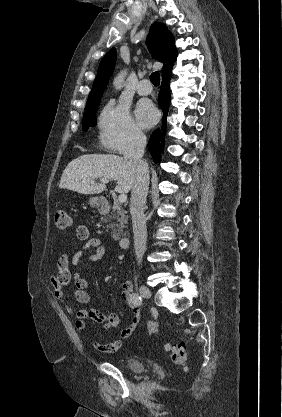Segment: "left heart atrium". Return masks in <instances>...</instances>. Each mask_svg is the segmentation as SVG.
Returning a JSON list of instances; mask_svg holds the SVG:
<instances>
[{"mask_svg": "<svg viewBox=\"0 0 282 417\" xmlns=\"http://www.w3.org/2000/svg\"><path fill=\"white\" fill-rule=\"evenodd\" d=\"M136 116L138 121L143 126H147L155 122L157 118V112L152 105L147 103H140L137 106Z\"/></svg>", "mask_w": 282, "mask_h": 417, "instance_id": "39dd6f15", "label": "left heart atrium"}]
</instances>
